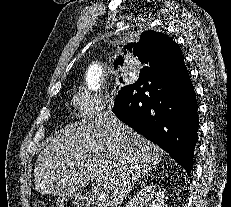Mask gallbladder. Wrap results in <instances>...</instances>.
Wrapping results in <instances>:
<instances>
[{"label": "gallbladder", "instance_id": "1", "mask_svg": "<svg viewBox=\"0 0 231 207\" xmlns=\"http://www.w3.org/2000/svg\"><path fill=\"white\" fill-rule=\"evenodd\" d=\"M90 197L91 195L88 192L78 190L73 194L72 199L74 200V203L78 205H86L87 207H92L93 202L91 201Z\"/></svg>", "mask_w": 231, "mask_h": 207}]
</instances>
